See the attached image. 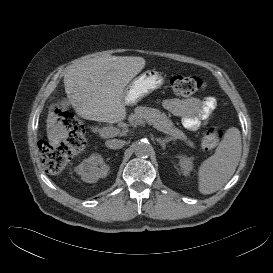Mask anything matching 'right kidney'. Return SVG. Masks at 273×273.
<instances>
[{
  "label": "right kidney",
  "mask_w": 273,
  "mask_h": 273,
  "mask_svg": "<svg viewBox=\"0 0 273 273\" xmlns=\"http://www.w3.org/2000/svg\"><path fill=\"white\" fill-rule=\"evenodd\" d=\"M108 167L99 154H92L80 164L81 179L87 183H94L100 177H105Z\"/></svg>",
  "instance_id": "obj_1"
}]
</instances>
